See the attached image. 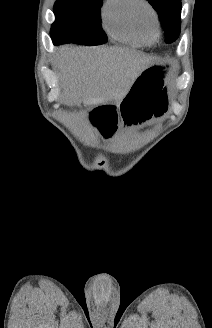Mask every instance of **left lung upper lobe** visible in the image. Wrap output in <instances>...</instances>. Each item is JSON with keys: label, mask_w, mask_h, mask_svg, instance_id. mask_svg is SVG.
I'll return each instance as SVG.
<instances>
[{"label": "left lung upper lobe", "mask_w": 212, "mask_h": 328, "mask_svg": "<svg viewBox=\"0 0 212 328\" xmlns=\"http://www.w3.org/2000/svg\"><path fill=\"white\" fill-rule=\"evenodd\" d=\"M159 15L166 43L177 40L180 34L181 0H148Z\"/></svg>", "instance_id": "5c2ea615"}]
</instances>
